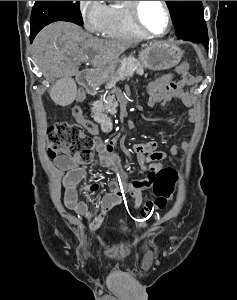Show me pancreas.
Listing matches in <instances>:
<instances>
[{
  "label": "pancreas",
  "instance_id": "cf45deb5",
  "mask_svg": "<svg viewBox=\"0 0 237 300\" xmlns=\"http://www.w3.org/2000/svg\"><path fill=\"white\" fill-rule=\"evenodd\" d=\"M122 63H124V65L119 67L112 77H109L108 83L105 85V89H112L118 81H122V79H126V77H132V73H135V71L138 75H143V65H141L138 59L128 57V59H125ZM116 107H118V101H116L115 95H109V97H106L103 105V111H105V113H110V115H115V113H117Z\"/></svg>",
  "mask_w": 237,
  "mask_h": 300
}]
</instances>
